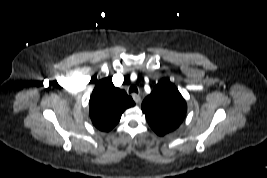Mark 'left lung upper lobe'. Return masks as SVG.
<instances>
[{
  "instance_id": "5c2ea615",
  "label": "left lung upper lobe",
  "mask_w": 267,
  "mask_h": 178,
  "mask_svg": "<svg viewBox=\"0 0 267 178\" xmlns=\"http://www.w3.org/2000/svg\"><path fill=\"white\" fill-rule=\"evenodd\" d=\"M142 111L151 128L163 136L182 123L187 105L173 83L162 79L142 102Z\"/></svg>"
}]
</instances>
